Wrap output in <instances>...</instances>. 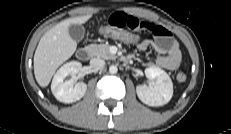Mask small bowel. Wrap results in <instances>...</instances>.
I'll use <instances>...</instances> for the list:
<instances>
[{
    "label": "small bowel",
    "instance_id": "obj_1",
    "mask_svg": "<svg viewBox=\"0 0 231 134\" xmlns=\"http://www.w3.org/2000/svg\"><path fill=\"white\" fill-rule=\"evenodd\" d=\"M111 27L126 29L132 32H146L154 40H143L137 47L140 51L154 50L159 56L146 66L162 68L170 71L177 70L182 61V54L177 42L165 27L141 20L139 17L125 12H115L108 20Z\"/></svg>",
    "mask_w": 231,
    "mask_h": 134
}]
</instances>
